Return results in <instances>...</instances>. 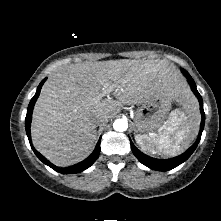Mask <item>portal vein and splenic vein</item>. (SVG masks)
Instances as JSON below:
<instances>
[{
    "label": "portal vein and splenic vein",
    "instance_id": "obj_1",
    "mask_svg": "<svg viewBox=\"0 0 221 221\" xmlns=\"http://www.w3.org/2000/svg\"><path fill=\"white\" fill-rule=\"evenodd\" d=\"M111 91H112V88L111 87H109V88L107 87L106 90H105V93H110Z\"/></svg>",
    "mask_w": 221,
    "mask_h": 221
}]
</instances>
